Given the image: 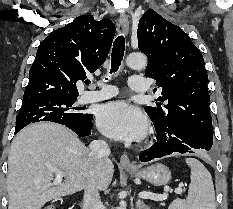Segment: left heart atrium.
<instances>
[{
	"instance_id": "left-heart-atrium-1",
	"label": "left heart atrium",
	"mask_w": 233,
	"mask_h": 209,
	"mask_svg": "<svg viewBox=\"0 0 233 209\" xmlns=\"http://www.w3.org/2000/svg\"><path fill=\"white\" fill-rule=\"evenodd\" d=\"M97 125L108 137L126 141L142 138L147 129L142 112L123 100L102 105L97 113Z\"/></svg>"
}]
</instances>
